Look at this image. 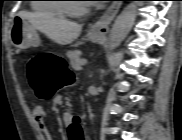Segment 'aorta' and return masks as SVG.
Here are the masks:
<instances>
[{
    "mask_svg": "<svg viewBox=\"0 0 182 140\" xmlns=\"http://www.w3.org/2000/svg\"><path fill=\"white\" fill-rule=\"evenodd\" d=\"M137 14V2L128 4L116 18L110 31L108 46L117 48L131 30Z\"/></svg>",
    "mask_w": 182,
    "mask_h": 140,
    "instance_id": "aorta-1",
    "label": "aorta"
}]
</instances>
